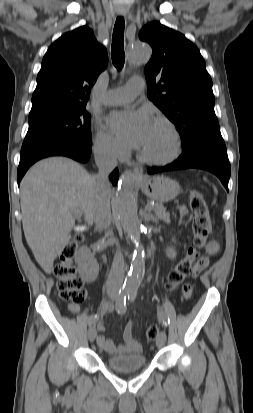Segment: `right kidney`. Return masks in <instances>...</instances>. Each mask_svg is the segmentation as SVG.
Instances as JSON below:
<instances>
[{"label":"right kidney","instance_id":"ca27d5eb","mask_svg":"<svg viewBox=\"0 0 253 413\" xmlns=\"http://www.w3.org/2000/svg\"><path fill=\"white\" fill-rule=\"evenodd\" d=\"M78 271L83 280L92 282L99 273V264L88 248L82 247L75 256Z\"/></svg>","mask_w":253,"mask_h":413}]
</instances>
